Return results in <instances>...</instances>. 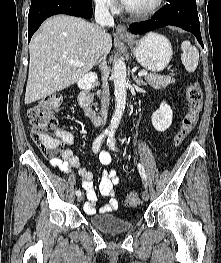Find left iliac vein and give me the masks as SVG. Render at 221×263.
I'll use <instances>...</instances> for the list:
<instances>
[{
	"label": "left iliac vein",
	"instance_id": "4c4485c4",
	"mask_svg": "<svg viewBox=\"0 0 221 263\" xmlns=\"http://www.w3.org/2000/svg\"><path fill=\"white\" fill-rule=\"evenodd\" d=\"M142 197H143V200L148 201V199H149V192H148V190L145 189L143 191Z\"/></svg>",
	"mask_w": 221,
	"mask_h": 263
}]
</instances>
